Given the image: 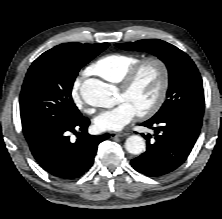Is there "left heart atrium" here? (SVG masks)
Masks as SVG:
<instances>
[{
    "label": "left heart atrium",
    "mask_w": 222,
    "mask_h": 219,
    "mask_svg": "<svg viewBox=\"0 0 222 219\" xmlns=\"http://www.w3.org/2000/svg\"><path fill=\"white\" fill-rule=\"evenodd\" d=\"M137 111L127 101H120L114 108L102 111L94 120L100 131H120L136 116Z\"/></svg>",
    "instance_id": "left-heart-atrium-1"
}]
</instances>
